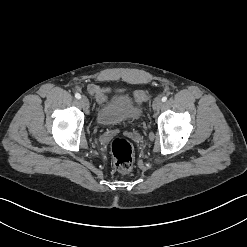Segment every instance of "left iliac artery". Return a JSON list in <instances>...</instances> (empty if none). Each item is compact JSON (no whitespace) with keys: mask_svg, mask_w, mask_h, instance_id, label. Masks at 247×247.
Returning a JSON list of instances; mask_svg holds the SVG:
<instances>
[{"mask_svg":"<svg viewBox=\"0 0 247 247\" xmlns=\"http://www.w3.org/2000/svg\"><path fill=\"white\" fill-rule=\"evenodd\" d=\"M166 101H167V97L166 96L162 97V102H166Z\"/></svg>","mask_w":247,"mask_h":247,"instance_id":"obj_1","label":"left iliac artery"}]
</instances>
